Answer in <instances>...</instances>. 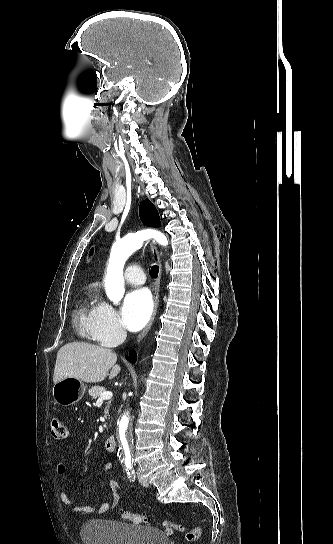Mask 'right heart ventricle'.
<instances>
[{
  "instance_id": "e07e8e85",
  "label": "right heart ventricle",
  "mask_w": 333,
  "mask_h": 544,
  "mask_svg": "<svg viewBox=\"0 0 333 544\" xmlns=\"http://www.w3.org/2000/svg\"><path fill=\"white\" fill-rule=\"evenodd\" d=\"M95 307H83L81 310H80V320H81V324H82V327L83 329L85 330V332L90 336V332H89V328H88V324H89V320L95 310Z\"/></svg>"
}]
</instances>
